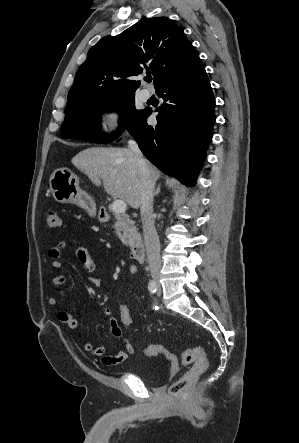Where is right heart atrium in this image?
Returning <instances> with one entry per match:
<instances>
[{
    "instance_id": "d8ad5b80",
    "label": "right heart atrium",
    "mask_w": 299,
    "mask_h": 443,
    "mask_svg": "<svg viewBox=\"0 0 299 443\" xmlns=\"http://www.w3.org/2000/svg\"><path fill=\"white\" fill-rule=\"evenodd\" d=\"M124 123L123 109L117 104H108L100 112V126L106 138L115 137L122 130Z\"/></svg>"
}]
</instances>
